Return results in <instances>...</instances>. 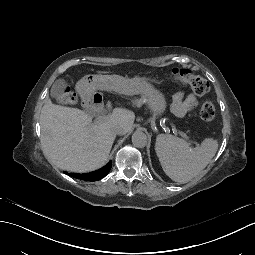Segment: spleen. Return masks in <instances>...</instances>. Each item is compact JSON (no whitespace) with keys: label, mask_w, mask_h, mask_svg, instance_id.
Segmentation results:
<instances>
[{"label":"spleen","mask_w":255,"mask_h":255,"mask_svg":"<svg viewBox=\"0 0 255 255\" xmlns=\"http://www.w3.org/2000/svg\"><path fill=\"white\" fill-rule=\"evenodd\" d=\"M217 149L218 142L212 138H206L200 146L191 148L185 140L165 134L158 135L155 144L164 172L178 183H187L198 175L215 156Z\"/></svg>","instance_id":"1"}]
</instances>
